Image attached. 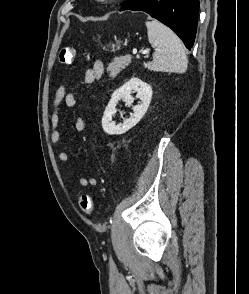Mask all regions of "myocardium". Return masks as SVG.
Segmentation results:
<instances>
[{
	"label": "myocardium",
	"mask_w": 249,
	"mask_h": 294,
	"mask_svg": "<svg viewBox=\"0 0 249 294\" xmlns=\"http://www.w3.org/2000/svg\"><path fill=\"white\" fill-rule=\"evenodd\" d=\"M96 1L101 2V3H109V2H112L115 0H96Z\"/></svg>",
	"instance_id": "1"
}]
</instances>
